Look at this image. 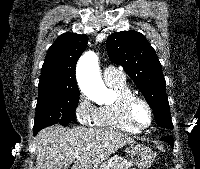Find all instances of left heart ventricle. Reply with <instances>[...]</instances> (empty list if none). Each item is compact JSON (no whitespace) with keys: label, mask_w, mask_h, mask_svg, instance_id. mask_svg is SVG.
Instances as JSON below:
<instances>
[{"label":"left heart ventricle","mask_w":200,"mask_h":169,"mask_svg":"<svg viewBox=\"0 0 200 169\" xmlns=\"http://www.w3.org/2000/svg\"><path fill=\"white\" fill-rule=\"evenodd\" d=\"M134 117L137 123L141 126H145L149 122V112L141 103L136 104L134 108Z\"/></svg>","instance_id":"1"}]
</instances>
